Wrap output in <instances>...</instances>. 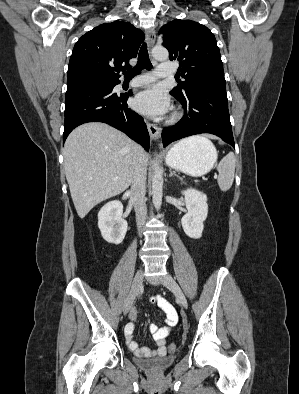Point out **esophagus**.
Segmentation results:
<instances>
[{
  "label": "esophagus",
  "mask_w": 299,
  "mask_h": 394,
  "mask_svg": "<svg viewBox=\"0 0 299 394\" xmlns=\"http://www.w3.org/2000/svg\"><path fill=\"white\" fill-rule=\"evenodd\" d=\"M146 38H147V43H148L149 47H152L155 42V38H156L155 30L152 28L148 29L146 31ZM147 128H148L151 139L158 140L160 137L161 129L158 126H156L155 124H152L150 122H147Z\"/></svg>",
  "instance_id": "1"
}]
</instances>
